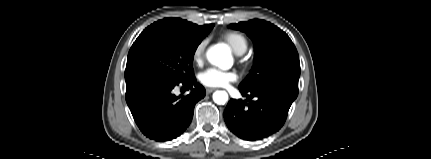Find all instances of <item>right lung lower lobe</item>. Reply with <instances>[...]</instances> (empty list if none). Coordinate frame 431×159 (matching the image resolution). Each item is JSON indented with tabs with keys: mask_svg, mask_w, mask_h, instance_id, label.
<instances>
[{
	"mask_svg": "<svg viewBox=\"0 0 431 159\" xmlns=\"http://www.w3.org/2000/svg\"><path fill=\"white\" fill-rule=\"evenodd\" d=\"M191 92L175 96V86ZM205 96V89L195 77L174 80L163 76H150L127 85L126 102L142 133L155 141L164 142L180 136L190 125L195 104Z\"/></svg>",
	"mask_w": 431,
	"mask_h": 159,
	"instance_id": "98d812e1",
	"label": "right lung lower lobe"
}]
</instances>
